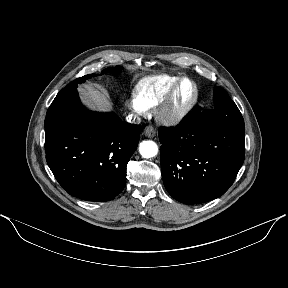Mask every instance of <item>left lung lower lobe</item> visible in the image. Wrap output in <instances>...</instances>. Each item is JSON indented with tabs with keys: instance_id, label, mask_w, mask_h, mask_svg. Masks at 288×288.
Masks as SVG:
<instances>
[{
	"instance_id": "0a47b994",
	"label": "left lung lower lobe",
	"mask_w": 288,
	"mask_h": 288,
	"mask_svg": "<svg viewBox=\"0 0 288 288\" xmlns=\"http://www.w3.org/2000/svg\"><path fill=\"white\" fill-rule=\"evenodd\" d=\"M161 173L177 201L199 204L223 195L244 162L245 131L208 120L196 107L175 128H159Z\"/></svg>"
}]
</instances>
